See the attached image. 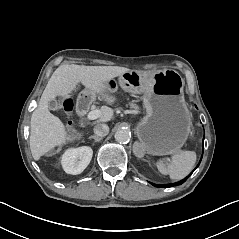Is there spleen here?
<instances>
[{
    "mask_svg": "<svg viewBox=\"0 0 239 239\" xmlns=\"http://www.w3.org/2000/svg\"><path fill=\"white\" fill-rule=\"evenodd\" d=\"M196 162L194 151H182L172 156V161L167 166L163 161L157 162L160 173L169 175L172 180L179 181L185 178L193 169Z\"/></svg>",
    "mask_w": 239,
    "mask_h": 239,
    "instance_id": "3e777b00",
    "label": "spleen"
}]
</instances>
